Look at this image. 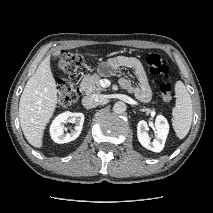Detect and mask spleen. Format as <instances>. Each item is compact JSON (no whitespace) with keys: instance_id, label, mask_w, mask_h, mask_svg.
<instances>
[{"instance_id":"spleen-1","label":"spleen","mask_w":213,"mask_h":213,"mask_svg":"<svg viewBox=\"0 0 213 213\" xmlns=\"http://www.w3.org/2000/svg\"><path fill=\"white\" fill-rule=\"evenodd\" d=\"M176 104L172 110V125L179 139H183L188 134L193 117V107L190 94L182 81H177L175 85Z\"/></svg>"}]
</instances>
